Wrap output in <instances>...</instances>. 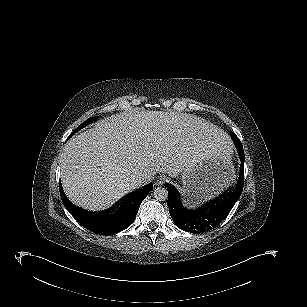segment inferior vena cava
Segmentation results:
<instances>
[{
	"label": "inferior vena cava",
	"mask_w": 307,
	"mask_h": 307,
	"mask_svg": "<svg viewBox=\"0 0 307 307\" xmlns=\"http://www.w3.org/2000/svg\"><path fill=\"white\" fill-rule=\"evenodd\" d=\"M145 184H147L146 179L141 178V177H139V178H133V179L131 180V182H130V187H131L132 189H136V188H139V187H141V186H143V185H145Z\"/></svg>",
	"instance_id": "obj_1"
}]
</instances>
